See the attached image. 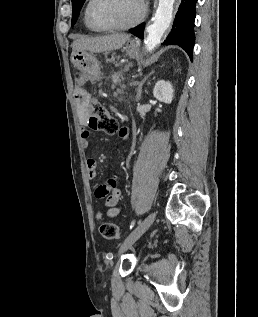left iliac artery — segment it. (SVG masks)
Wrapping results in <instances>:
<instances>
[{
	"label": "left iliac artery",
	"instance_id": "obj_1",
	"mask_svg": "<svg viewBox=\"0 0 258 317\" xmlns=\"http://www.w3.org/2000/svg\"><path fill=\"white\" fill-rule=\"evenodd\" d=\"M136 220H132L130 223V230L135 226Z\"/></svg>",
	"mask_w": 258,
	"mask_h": 317
}]
</instances>
